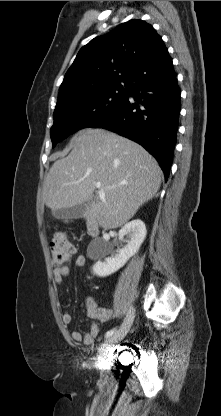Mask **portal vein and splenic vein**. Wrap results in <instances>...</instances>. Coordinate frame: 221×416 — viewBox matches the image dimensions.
Listing matches in <instances>:
<instances>
[{
	"mask_svg": "<svg viewBox=\"0 0 221 416\" xmlns=\"http://www.w3.org/2000/svg\"><path fill=\"white\" fill-rule=\"evenodd\" d=\"M113 187L114 186H112L111 188H113ZM96 188L99 189L100 194L103 193V190L101 189V183L100 182L96 183Z\"/></svg>",
	"mask_w": 221,
	"mask_h": 416,
	"instance_id": "portal-vein-and-splenic-vein-1",
	"label": "portal vein and splenic vein"
}]
</instances>
